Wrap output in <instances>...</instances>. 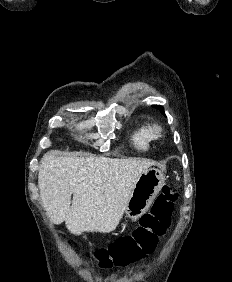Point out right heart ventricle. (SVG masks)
Wrapping results in <instances>:
<instances>
[{"mask_svg":"<svg viewBox=\"0 0 232 282\" xmlns=\"http://www.w3.org/2000/svg\"><path fill=\"white\" fill-rule=\"evenodd\" d=\"M153 140L154 139L150 132L149 123L137 122L133 125L129 134V142L135 151L137 152L148 151L151 147Z\"/></svg>","mask_w":232,"mask_h":282,"instance_id":"right-heart-ventricle-1","label":"right heart ventricle"}]
</instances>
